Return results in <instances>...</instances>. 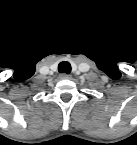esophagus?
<instances>
[{
    "label": "esophagus",
    "instance_id": "esophagus-1",
    "mask_svg": "<svg viewBox=\"0 0 137 145\" xmlns=\"http://www.w3.org/2000/svg\"><path fill=\"white\" fill-rule=\"evenodd\" d=\"M60 78L61 79H71V75L63 73L60 75Z\"/></svg>",
    "mask_w": 137,
    "mask_h": 145
}]
</instances>
